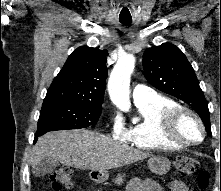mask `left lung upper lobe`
<instances>
[{
    "mask_svg": "<svg viewBox=\"0 0 221 191\" xmlns=\"http://www.w3.org/2000/svg\"><path fill=\"white\" fill-rule=\"evenodd\" d=\"M144 76L155 88L191 105L210 136L208 103L184 53L171 43L148 48L143 54Z\"/></svg>",
    "mask_w": 221,
    "mask_h": 191,
    "instance_id": "1",
    "label": "left lung upper lobe"
}]
</instances>
